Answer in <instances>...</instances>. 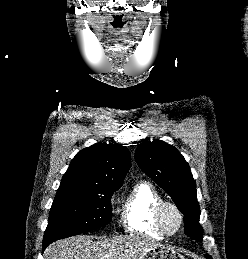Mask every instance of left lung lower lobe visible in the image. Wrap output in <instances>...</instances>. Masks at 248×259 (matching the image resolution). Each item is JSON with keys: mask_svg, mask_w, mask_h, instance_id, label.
Here are the masks:
<instances>
[{"mask_svg": "<svg viewBox=\"0 0 248 259\" xmlns=\"http://www.w3.org/2000/svg\"><path fill=\"white\" fill-rule=\"evenodd\" d=\"M207 259H212L210 256H207Z\"/></svg>", "mask_w": 248, "mask_h": 259, "instance_id": "left-lung-lower-lobe-1", "label": "left lung lower lobe"}]
</instances>
